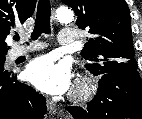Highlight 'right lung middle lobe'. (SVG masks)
I'll list each match as a JSON object with an SVG mask.
<instances>
[{
	"instance_id": "obj_1",
	"label": "right lung middle lobe",
	"mask_w": 142,
	"mask_h": 119,
	"mask_svg": "<svg viewBox=\"0 0 142 119\" xmlns=\"http://www.w3.org/2000/svg\"><path fill=\"white\" fill-rule=\"evenodd\" d=\"M5 55L6 53L0 54V71L4 70Z\"/></svg>"
}]
</instances>
